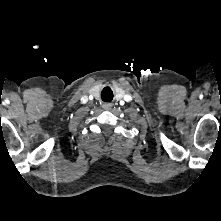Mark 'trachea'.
<instances>
[{
    "label": "trachea",
    "mask_w": 221,
    "mask_h": 221,
    "mask_svg": "<svg viewBox=\"0 0 221 221\" xmlns=\"http://www.w3.org/2000/svg\"><path fill=\"white\" fill-rule=\"evenodd\" d=\"M106 90H110L109 88H105ZM104 89V90H105ZM111 91V90H110ZM112 93V92H111ZM107 100H109V99H104V101H107ZM111 100V99H110Z\"/></svg>",
    "instance_id": "trachea-1"
}]
</instances>
